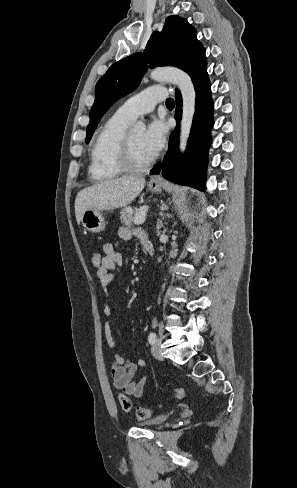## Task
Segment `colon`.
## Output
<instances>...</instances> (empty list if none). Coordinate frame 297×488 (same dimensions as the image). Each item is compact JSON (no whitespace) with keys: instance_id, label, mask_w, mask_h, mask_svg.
I'll list each match as a JSON object with an SVG mask.
<instances>
[{"instance_id":"5ec220e1","label":"colon","mask_w":297,"mask_h":488,"mask_svg":"<svg viewBox=\"0 0 297 488\" xmlns=\"http://www.w3.org/2000/svg\"><path fill=\"white\" fill-rule=\"evenodd\" d=\"M91 260H92V265L96 269L100 268L102 257L99 253L94 252L92 254ZM173 395L176 399L182 400L184 398V390L181 388L175 389ZM118 401L121 408L125 412H130L133 410L132 402L125 393L123 392L118 393ZM135 412L138 419L145 420L151 417L153 410L151 408L138 407L136 408Z\"/></svg>"}]
</instances>
